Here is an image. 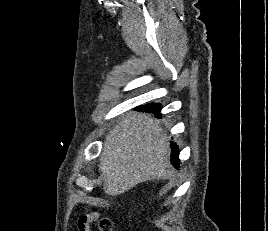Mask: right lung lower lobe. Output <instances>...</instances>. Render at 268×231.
I'll return each mask as SVG.
<instances>
[{"instance_id": "right-lung-lower-lobe-1", "label": "right lung lower lobe", "mask_w": 268, "mask_h": 231, "mask_svg": "<svg viewBox=\"0 0 268 231\" xmlns=\"http://www.w3.org/2000/svg\"><path fill=\"white\" fill-rule=\"evenodd\" d=\"M138 110H141V111H145V112H150V113H155L157 116H159V111H151V110H148L144 107H140L138 108ZM171 148H172V154H171V163L176 167L178 168L179 167V153H178V149H177V146L175 144H172L171 145Z\"/></svg>"}]
</instances>
